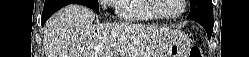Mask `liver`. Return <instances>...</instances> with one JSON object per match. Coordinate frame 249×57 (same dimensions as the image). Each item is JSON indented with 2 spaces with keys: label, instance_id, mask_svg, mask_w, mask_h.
Returning <instances> with one entry per match:
<instances>
[{
  "label": "liver",
  "instance_id": "1",
  "mask_svg": "<svg viewBox=\"0 0 249 57\" xmlns=\"http://www.w3.org/2000/svg\"><path fill=\"white\" fill-rule=\"evenodd\" d=\"M88 7L69 4L45 24L46 57H152L159 37L168 30L141 24H93Z\"/></svg>",
  "mask_w": 249,
  "mask_h": 57
}]
</instances>
